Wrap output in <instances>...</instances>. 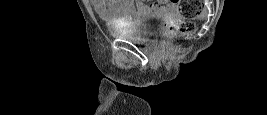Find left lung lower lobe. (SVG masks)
Instances as JSON below:
<instances>
[{"instance_id": "obj_1", "label": "left lung lower lobe", "mask_w": 267, "mask_h": 115, "mask_svg": "<svg viewBox=\"0 0 267 115\" xmlns=\"http://www.w3.org/2000/svg\"><path fill=\"white\" fill-rule=\"evenodd\" d=\"M147 89L152 90V91H158L160 88L156 86V87H151V88H147Z\"/></svg>"}]
</instances>
